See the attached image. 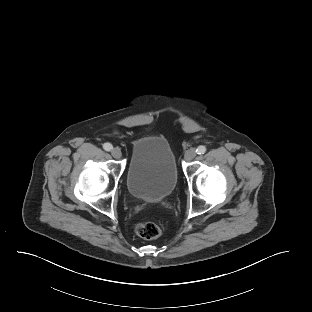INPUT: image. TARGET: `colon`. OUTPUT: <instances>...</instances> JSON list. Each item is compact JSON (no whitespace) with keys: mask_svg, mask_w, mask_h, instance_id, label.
Listing matches in <instances>:
<instances>
[{"mask_svg":"<svg viewBox=\"0 0 312 312\" xmlns=\"http://www.w3.org/2000/svg\"><path fill=\"white\" fill-rule=\"evenodd\" d=\"M163 225L155 222L138 223L135 226V233L143 239H155L163 233Z\"/></svg>","mask_w":312,"mask_h":312,"instance_id":"colon-1","label":"colon"}]
</instances>
